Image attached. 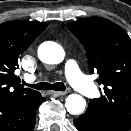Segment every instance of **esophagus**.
<instances>
[{
    "label": "esophagus",
    "mask_w": 131,
    "mask_h": 131,
    "mask_svg": "<svg viewBox=\"0 0 131 131\" xmlns=\"http://www.w3.org/2000/svg\"><path fill=\"white\" fill-rule=\"evenodd\" d=\"M51 94L55 97L64 96L67 94L66 91H52Z\"/></svg>",
    "instance_id": "obj_1"
}]
</instances>
